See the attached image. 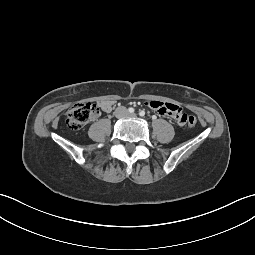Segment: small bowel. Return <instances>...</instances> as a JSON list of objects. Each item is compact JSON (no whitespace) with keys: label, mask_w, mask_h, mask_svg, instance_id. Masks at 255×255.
Returning a JSON list of instances; mask_svg holds the SVG:
<instances>
[{"label":"small bowel","mask_w":255,"mask_h":255,"mask_svg":"<svg viewBox=\"0 0 255 255\" xmlns=\"http://www.w3.org/2000/svg\"><path fill=\"white\" fill-rule=\"evenodd\" d=\"M114 103V100H102L99 102V106L104 112H110ZM145 104L160 115L168 116V119L171 122H175L178 126H185L188 123V116L178 105L157 100H146Z\"/></svg>","instance_id":"1"}]
</instances>
